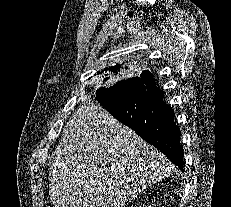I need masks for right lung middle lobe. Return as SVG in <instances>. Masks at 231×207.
I'll list each match as a JSON object with an SVG mask.
<instances>
[{"instance_id": "1", "label": "right lung middle lobe", "mask_w": 231, "mask_h": 207, "mask_svg": "<svg viewBox=\"0 0 231 207\" xmlns=\"http://www.w3.org/2000/svg\"><path fill=\"white\" fill-rule=\"evenodd\" d=\"M125 82V80L119 81L118 83H116L115 85L108 87V88H101L97 91V93L99 94V97H103L105 96L107 93H111L114 90L118 89L119 86H121L123 83Z\"/></svg>"}]
</instances>
